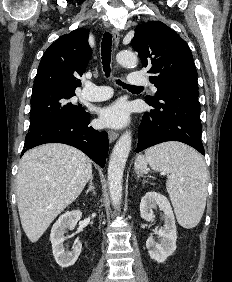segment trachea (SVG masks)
I'll list each match as a JSON object with an SVG mask.
<instances>
[{"label":"trachea","mask_w":232,"mask_h":282,"mask_svg":"<svg viewBox=\"0 0 232 282\" xmlns=\"http://www.w3.org/2000/svg\"><path fill=\"white\" fill-rule=\"evenodd\" d=\"M111 47H112V35L109 32H105L103 35L102 43H101V56H102V65H103V69H104L106 77H109L111 73V68H110ZM117 83L119 85H122L123 88L129 89V90L142 88L140 86H131V85L124 84L120 80H117Z\"/></svg>","instance_id":"obj_1"}]
</instances>
